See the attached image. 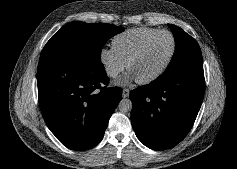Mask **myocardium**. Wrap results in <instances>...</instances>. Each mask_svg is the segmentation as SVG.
Masks as SVG:
<instances>
[{
	"label": "myocardium",
	"instance_id": "1",
	"mask_svg": "<svg viewBox=\"0 0 237 169\" xmlns=\"http://www.w3.org/2000/svg\"><path fill=\"white\" fill-rule=\"evenodd\" d=\"M168 34L171 37L172 40V48H171V52L166 60V62L163 64V66L155 73H153L152 75L143 78V79H136V81L139 84H148L153 82L154 80L158 79L169 67L170 63L173 60V57L175 55L176 52V40L174 35L168 31V30H159L157 32H155L154 34H152L151 36H149L145 41L142 42V44L137 48V50L131 55V57L128 59L127 61V70L130 71V67L131 64L138 58L141 56V54L143 53L144 49L147 47V45L158 35L160 34Z\"/></svg>",
	"mask_w": 237,
	"mask_h": 169
}]
</instances>
